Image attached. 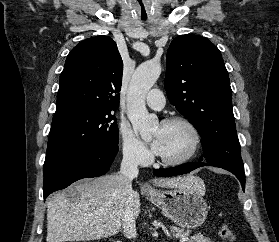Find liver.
Wrapping results in <instances>:
<instances>
[{
	"label": "liver",
	"instance_id": "obj_1",
	"mask_svg": "<svg viewBox=\"0 0 279 242\" xmlns=\"http://www.w3.org/2000/svg\"><path fill=\"white\" fill-rule=\"evenodd\" d=\"M125 178L111 174L81 180L68 191L56 193L47 203V242L91 241L116 235L123 225L125 206L137 219L140 196L122 195ZM158 187L191 188L204 193V183L193 176L153 179Z\"/></svg>",
	"mask_w": 279,
	"mask_h": 242
}]
</instances>
